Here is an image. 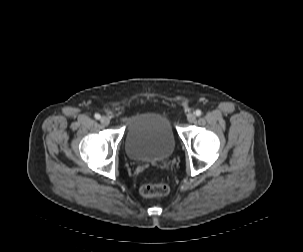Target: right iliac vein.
Wrapping results in <instances>:
<instances>
[{"mask_svg": "<svg viewBox=\"0 0 303 252\" xmlns=\"http://www.w3.org/2000/svg\"><path fill=\"white\" fill-rule=\"evenodd\" d=\"M100 122H101V124H103V125H108V124L110 123V119H109V117H107V116H102V117L100 118Z\"/></svg>", "mask_w": 303, "mask_h": 252, "instance_id": "1", "label": "right iliac vein"}]
</instances>
